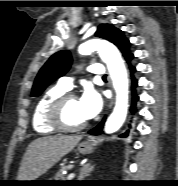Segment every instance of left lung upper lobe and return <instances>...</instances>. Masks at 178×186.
Returning a JSON list of instances; mask_svg holds the SVG:
<instances>
[{"instance_id": "obj_1", "label": "left lung upper lobe", "mask_w": 178, "mask_h": 186, "mask_svg": "<svg viewBox=\"0 0 178 186\" xmlns=\"http://www.w3.org/2000/svg\"><path fill=\"white\" fill-rule=\"evenodd\" d=\"M95 36L115 44L122 51L125 59L132 55L128 50L130 42L125 38L121 30L116 29L112 25H100ZM71 63V53L67 50L59 51L52 55L40 69L35 79L32 96H39L49 84L63 76L69 70Z\"/></svg>"}]
</instances>
